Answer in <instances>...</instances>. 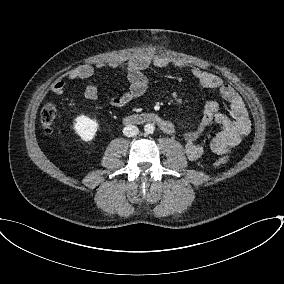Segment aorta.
<instances>
[{
    "mask_svg": "<svg viewBox=\"0 0 284 284\" xmlns=\"http://www.w3.org/2000/svg\"><path fill=\"white\" fill-rule=\"evenodd\" d=\"M154 130H155V127H154V125L151 124V123H148V124H146V125L144 126V132H145L146 134H152V133L154 132Z\"/></svg>",
    "mask_w": 284,
    "mask_h": 284,
    "instance_id": "1",
    "label": "aorta"
}]
</instances>
